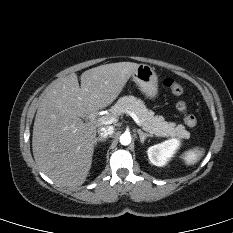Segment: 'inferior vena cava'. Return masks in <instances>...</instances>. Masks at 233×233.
I'll use <instances>...</instances> for the list:
<instances>
[{
  "mask_svg": "<svg viewBox=\"0 0 233 233\" xmlns=\"http://www.w3.org/2000/svg\"><path fill=\"white\" fill-rule=\"evenodd\" d=\"M113 133H114L113 126L102 127L98 130V134L102 138H107L108 136H111Z\"/></svg>",
  "mask_w": 233,
  "mask_h": 233,
  "instance_id": "1",
  "label": "inferior vena cava"
}]
</instances>
